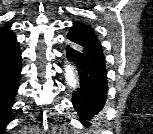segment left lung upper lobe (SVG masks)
Listing matches in <instances>:
<instances>
[{
    "mask_svg": "<svg viewBox=\"0 0 153 134\" xmlns=\"http://www.w3.org/2000/svg\"><path fill=\"white\" fill-rule=\"evenodd\" d=\"M67 38L80 45L81 48L103 54L101 44L96 38L94 31L82 23H74L67 35Z\"/></svg>",
    "mask_w": 153,
    "mask_h": 134,
    "instance_id": "left-lung-upper-lobe-1",
    "label": "left lung upper lobe"
}]
</instances>
